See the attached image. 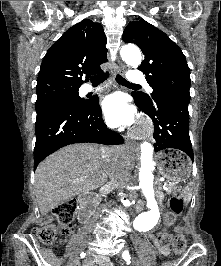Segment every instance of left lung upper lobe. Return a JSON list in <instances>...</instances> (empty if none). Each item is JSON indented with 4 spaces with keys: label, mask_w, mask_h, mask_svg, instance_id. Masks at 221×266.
<instances>
[{
    "label": "left lung upper lobe",
    "mask_w": 221,
    "mask_h": 266,
    "mask_svg": "<svg viewBox=\"0 0 221 266\" xmlns=\"http://www.w3.org/2000/svg\"><path fill=\"white\" fill-rule=\"evenodd\" d=\"M125 43H134L142 50L144 61L139 70L153 88L151 98L142 92L132 95L145 107L155 108L162 98L190 102V73L181 49L161 30L144 19L132 21L123 32Z\"/></svg>",
    "instance_id": "left-lung-upper-lobe-1"
}]
</instances>
